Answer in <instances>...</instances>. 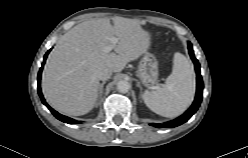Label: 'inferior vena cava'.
I'll list each match as a JSON object with an SVG mask.
<instances>
[{"instance_id": "inferior-vena-cava-1", "label": "inferior vena cava", "mask_w": 248, "mask_h": 158, "mask_svg": "<svg viewBox=\"0 0 248 158\" xmlns=\"http://www.w3.org/2000/svg\"><path fill=\"white\" fill-rule=\"evenodd\" d=\"M112 70L110 68H105L103 69L100 73H99V79L100 80H107L110 78V76L112 75Z\"/></svg>"}]
</instances>
